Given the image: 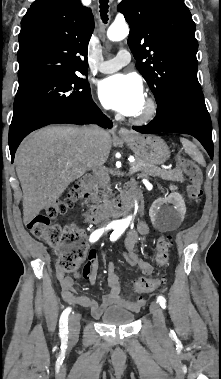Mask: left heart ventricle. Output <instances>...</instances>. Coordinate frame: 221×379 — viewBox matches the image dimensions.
Instances as JSON below:
<instances>
[{
  "label": "left heart ventricle",
  "mask_w": 221,
  "mask_h": 379,
  "mask_svg": "<svg viewBox=\"0 0 221 379\" xmlns=\"http://www.w3.org/2000/svg\"><path fill=\"white\" fill-rule=\"evenodd\" d=\"M144 106H145V103L143 104V106H142V108H141V110L136 114V115H138V114H140L142 111H143V109H144Z\"/></svg>",
  "instance_id": "obj_1"
}]
</instances>
